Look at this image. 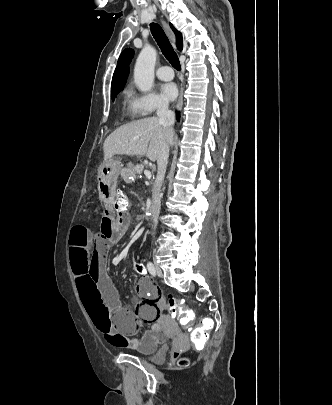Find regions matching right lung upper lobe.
Masks as SVG:
<instances>
[{"label":"right lung upper lobe","mask_w":332,"mask_h":405,"mask_svg":"<svg viewBox=\"0 0 332 405\" xmlns=\"http://www.w3.org/2000/svg\"><path fill=\"white\" fill-rule=\"evenodd\" d=\"M171 28L173 29L176 38H177V48L178 50H182L183 45H182V34L176 30L171 24H170ZM134 56V51L130 48L125 49L117 62V67L115 69L114 75H113V79H112V84H111V88L117 86L120 83L126 82V79L128 77L129 74V64L132 60Z\"/></svg>","instance_id":"right-lung-upper-lobe-1"}]
</instances>
